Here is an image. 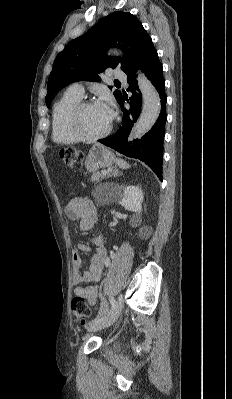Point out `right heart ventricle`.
I'll return each instance as SVG.
<instances>
[{
    "instance_id": "right-heart-ventricle-1",
    "label": "right heart ventricle",
    "mask_w": 232,
    "mask_h": 399,
    "mask_svg": "<svg viewBox=\"0 0 232 399\" xmlns=\"http://www.w3.org/2000/svg\"><path fill=\"white\" fill-rule=\"evenodd\" d=\"M82 97L65 94L52 107L51 114V136L52 140L63 146H73L79 141L70 133L68 127L69 115Z\"/></svg>"
}]
</instances>
